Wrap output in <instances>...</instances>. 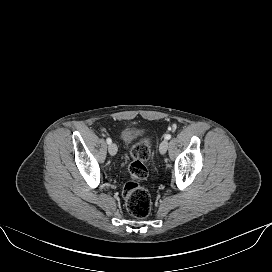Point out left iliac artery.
<instances>
[{
  "label": "left iliac artery",
  "instance_id": "44dca946",
  "mask_svg": "<svg viewBox=\"0 0 272 272\" xmlns=\"http://www.w3.org/2000/svg\"><path fill=\"white\" fill-rule=\"evenodd\" d=\"M166 140H169L171 138V135L170 134H166L165 137H164Z\"/></svg>",
  "mask_w": 272,
  "mask_h": 272
}]
</instances>
